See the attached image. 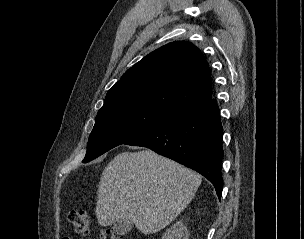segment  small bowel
Listing matches in <instances>:
<instances>
[{"mask_svg":"<svg viewBox=\"0 0 304 239\" xmlns=\"http://www.w3.org/2000/svg\"><path fill=\"white\" fill-rule=\"evenodd\" d=\"M63 239H72L71 237H64Z\"/></svg>","mask_w":304,"mask_h":239,"instance_id":"small-bowel-1","label":"small bowel"}]
</instances>
